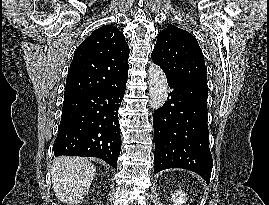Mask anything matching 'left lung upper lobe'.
I'll use <instances>...</instances> for the list:
<instances>
[{"label":"left lung upper lobe","mask_w":269,"mask_h":205,"mask_svg":"<svg viewBox=\"0 0 269 205\" xmlns=\"http://www.w3.org/2000/svg\"><path fill=\"white\" fill-rule=\"evenodd\" d=\"M151 57L167 77L207 80L204 56L196 38L174 25H168L158 34Z\"/></svg>","instance_id":"obj_1"}]
</instances>
